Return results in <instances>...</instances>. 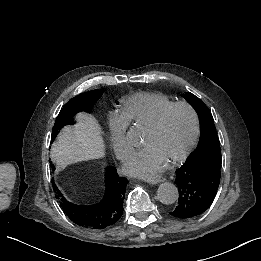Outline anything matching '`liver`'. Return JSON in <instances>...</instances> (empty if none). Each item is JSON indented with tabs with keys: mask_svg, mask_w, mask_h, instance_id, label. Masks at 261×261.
I'll return each instance as SVG.
<instances>
[{
	"mask_svg": "<svg viewBox=\"0 0 261 261\" xmlns=\"http://www.w3.org/2000/svg\"><path fill=\"white\" fill-rule=\"evenodd\" d=\"M76 120L77 124L74 127H64L53 143L51 152L54 154V159L73 156L89 159L103 157L105 144L101 136V126L96 118L85 113H78Z\"/></svg>",
	"mask_w": 261,
	"mask_h": 261,
	"instance_id": "1",
	"label": "liver"
}]
</instances>
